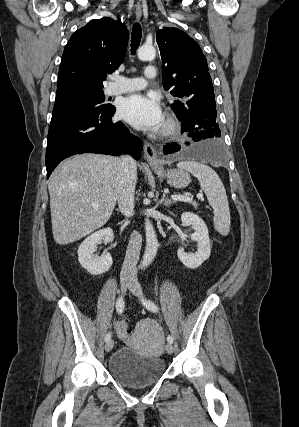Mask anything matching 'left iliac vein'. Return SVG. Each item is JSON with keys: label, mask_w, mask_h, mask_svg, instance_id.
I'll return each instance as SVG.
<instances>
[{"label": "left iliac vein", "mask_w": 299, "mask_h": 427, "mask_svg": "<svg viewBox=\"0 0 299 427\" xmlns=\"http://www.w3.org/2000/svg\"><path fill=\"white\" fill-rule=\"evenodd\" d=\"M129 290L137 297H141L143 295L142 288L136 280L130 281ZM165 349L168 354H172L174 351L172 343L169 342L166 344Z\"/></svg>", "instance_id": "obj_1"}]
</instances>
